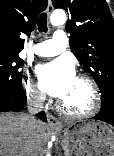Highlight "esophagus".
Listing matches in <instances>:
<instances>
[{
    "mask_svg": "<svg viewBox=\"0 0 114 156\" xmlns=\"http://www.w3.org/2000/svg\"><path fill=\"white\" fill-rule=\"evenodd\" d=\"M53 11V5H52V1L51 0H48V6H47V14L48 16L51 15ZM47 121H48V124L51 126V127H55V128H59L61 126L60 122L57 120V118H55L53 115L51 114H47Z\"/></svg>",
    "mask_w": 114,
    "mask_h": 156,
    "instance_id": "esophagus-1",
    "label": "esophagus"
}]
</instances>
